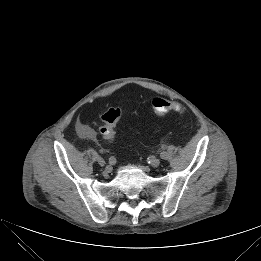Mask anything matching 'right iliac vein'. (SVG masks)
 <instances>
[{"instance_id":"obj_1","label":"right iliac vein","mask_w":261,"mask_h":261,"mask_svg":"<svg viewBox=\"0 0 261 261\" xmlns=\"http://www.w3.org/2000/svg\"><path fill=\"white\" fill-rule=\"evenodd\" d=\"M97 163H98L101 167L106 166L105 160H104L103 158H101V157H98V158H97Z\"/></svg>"}]
</instances>
